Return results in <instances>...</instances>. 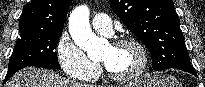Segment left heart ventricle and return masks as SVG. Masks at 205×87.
Listing matches in <instances>:
<instances>
[{
    "instance_id": "1",
    "label": "left heart ventricle",
    "mask_w": 205,
    "mask_h": 87,
    "mask_svg": "<svg viewBox=\"0 0 205 87\" xmlns=\"http://www.w3.org/2000/svg\"><path fill=\"white\" fill-rule=\"evenodd\" d=\"M99 60L113 73L127 75L139 67L141 55L135 46L110 44L104 49Z\"/></svg>"
}]
</instances>
